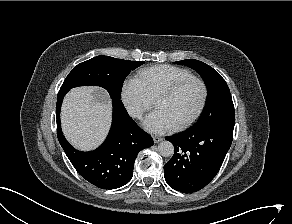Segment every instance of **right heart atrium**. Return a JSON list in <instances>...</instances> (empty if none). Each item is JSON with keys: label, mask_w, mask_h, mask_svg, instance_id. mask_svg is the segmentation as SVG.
<instances>
[{"label": "right heart atrium", "mask_w": 292, "mask_h": 224, "mask_svg": "<svg viewBox=\"0 0 292 224\" xmlns=\"http://www.w3.org/2000/svg\"><path fill=\"white\" fill-rule=\"evenodd\" d=\"M121 98L128 113L137 119L142 118L154 104V100L137 79L124 82L121 89Z\"/></svg>", "instance_id": "right-heart-atrium-1"}]
</instances>
